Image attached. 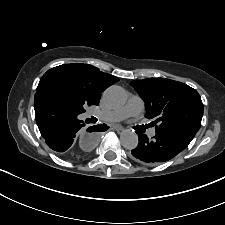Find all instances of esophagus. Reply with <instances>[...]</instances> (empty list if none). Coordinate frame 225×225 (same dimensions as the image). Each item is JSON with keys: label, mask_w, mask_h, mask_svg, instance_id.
<instances>
[{"label": "esophagus", "mask_w": 225, "mask_h": 225, "mask_svg": "<svg viewBox=\"0 0 225 225\" xmlns=\"http://www.w3.org/2000/svg\"><path fill=\"white\" fill-rule=\"evenodd\" d=\"M113 128L117 131H122L124 129L121 125H114Z\"/></svg>", "instance_id": "esophagus-1"}]
</instances>
